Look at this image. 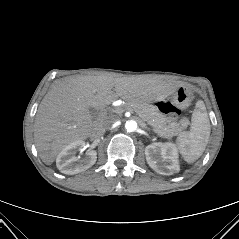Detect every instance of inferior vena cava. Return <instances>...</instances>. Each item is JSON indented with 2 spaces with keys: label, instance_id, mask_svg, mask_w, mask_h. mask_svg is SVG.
I'll use <instances>...</instances> for the list:
<instances>
[{
  "label": "inferior vena cava",
  "instance_id": "obj_1",
  "mask_svg": "<svg viewBox=\"0 0 239 239\" xmlns=\"http://www.w3.org/2000/svg\"><path fill=\"white\" fill-rule=\"evenodd\" d=\"M113 120L108 119L105 120L103 123H100L97 128H96V132L98 136H101L104 134L105 130L108 129L110 127V125L112 124Z\"/></svg>",
  "mask_w": 239,
  "mask_h": 239
}]
</instances>
